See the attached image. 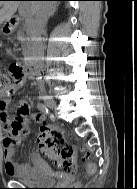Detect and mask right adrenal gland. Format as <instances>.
<instances>
[{
	"mask_svg": "<svg viewBox=\"0 0 137 189\" xmlns=\"http://www.w3.org/2000/svg\"><path fill=\"white\" fill-rule=\"evenodd\" d=\"M57 9L56 8H54V10H53V12H52V14H51V16H53L54 15V13H55V11H56Z\"/></svg>",
	"mask_w": 137,
	"mask_h": 189,
	"instance_id": "1",
	"label": "right adrenal gland"
}]
</instances>
